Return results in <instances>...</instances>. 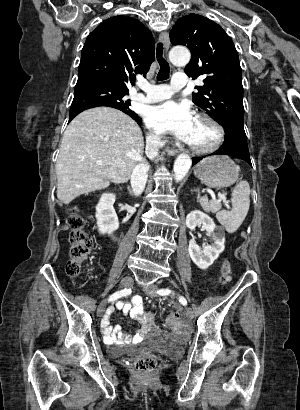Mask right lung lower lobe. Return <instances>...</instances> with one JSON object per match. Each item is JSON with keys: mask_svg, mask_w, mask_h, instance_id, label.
<instances>
[{"mask_svg": "<svg viewBox=\"0 0 300 410\" xmlns=\"http://www.w3.org/2000/svg\"><path fill=\"white\" fill-rule=\"evenodd\" d=\"M86 109H89V108L81 109V110L76 111V112H74V113H70L69 121H71L77 114H79L80 112H82V111H84V110H86ZM117 109H119V110L123 111L124 113L128 114L129 116H131L138 124L141 123V119H140V118L138 117V115L135 114L134 112H130V111H127V110L121 109V108H117Z\"/></svg>", "mask_w": 300, "mask_h": 410, "instance_id": "98d812e1", "label": "right lung lower lobe"}]
</instances>
